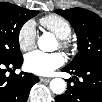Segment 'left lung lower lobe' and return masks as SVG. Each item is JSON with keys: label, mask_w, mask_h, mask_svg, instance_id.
<instances>
[{"label": "left lung lower lobe", "mask_w": 102, "mask_h": 102, "mask_svg": "<svg viewBox=\"0 0 102 102\" xmlns=\"http://www.w3.org/2000/svg\"><path fill=\"white\" fill-rule=\"evenodd\" d=\"M64 72L75 76L68 79L65 94L55 97L56 102H102V64H80L75 67H65ZM76 76L82 77L80 82ZM76 79V80H74ZM71 81L74 85H71Z\"/></svg>", "instance_id": "left-lung-lower-lobe-1"}]
</instances>
